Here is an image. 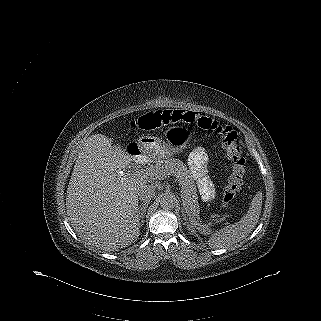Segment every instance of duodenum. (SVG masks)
<instances>
[{
    "label": "duodenum",
    "mask_w": 321,
    "mask_h": 321,
    "mask_svg": "<svg viewBox=\"0 0 321 321\" xmlns=\"http://www.w3.org/2000/svg\"><path fill=\"white\" fill-rule=\"evenodd\" d=\"M137 153L142 155L143 151L141 149H137Z\"/></svg>",
    "instance_id": "410a0bca"
}]
</instances>
